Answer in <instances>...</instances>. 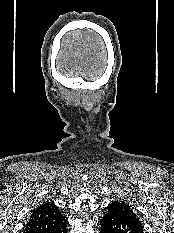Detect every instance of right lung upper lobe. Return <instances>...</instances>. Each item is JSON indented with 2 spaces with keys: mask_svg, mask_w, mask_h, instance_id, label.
I'll return each mask as SVG.
<instances>
[{
  "mask_svg": "<svg viewBox=\"0 0 174 233\" xmlns=\"http://www.w3.org/2000/svg\"><path fill=\"white\" fill-rule=\"evenodd\" d=\"M67 223L53 203H43L30 215L23 233H47Z\"/></svg>",
  "mask_w": 174,
  "mask_h": 233,
  "instance_id": "1",
  "label": "right lung upper lobe"
}]
</instances>
